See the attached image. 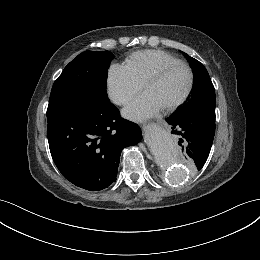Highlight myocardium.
<instances>
[{
	"label": "myocardium",
	"instance_id": "1",
	"mask_svg": "<svg viewBox=\"0 0 260 260\" xmlns=\"http://www.w3.org/2000/svg\"><path fill=\"white\" fill-rule=\"evenodd\" d=\"M177 68H184L187 73H188V86L185 90V92L183 93V95L177 99L175 102H173L172 104L164 107L165 111H173L175 109H177L180 105H182L187 98L190 96L193 87H194V73L192 68L185 62H176V63H172V64H168L165 65L163 67H161L160 69H158L156 72H154L153 74H151L146 81L143 84V88L144 90L151 84L156 83L158 81H160L161 79H163L168 73H170L171 71L177 69Z\"/></svg>",
	"mask_w": 260,
	"mask_h": 260
}]
</instances>
